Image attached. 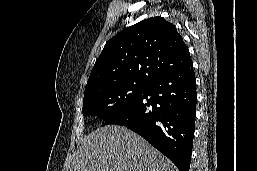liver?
<instances>
[{
    "label": "liver",
    "instance_id": "obj_1",
    "mask_svg": "<svg viewBox=\"0 0 257 171\" xmlns=\"http://www.w3.org/2000/svg\"><path fill=\"white\" fill-rule=\"evenodd\" d=\"M70 171H174L145 139L122 126L98 128L82 140Z\"/></svg>",
    "mask_w": 257,
    "mask_h": 171
}]
</instances>
